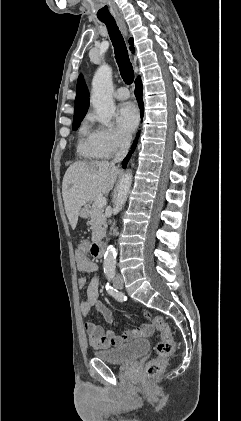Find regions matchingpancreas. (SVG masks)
<instances>
[{
	"label": "pancreas",
	"instance_id": "1",
	"mask_svg": "<svg viewBox=\"0 0 241 421\" xmlns=\"http://www.w3.org/2000/svg\"><path fill=\"white\" fill-rule=\"evenodd\" d=\"M91 208L89 211V217H90V225L92 230V239H101L106 234V217L103 213V209L100 207H97L95 205V202L91 201Z\"/></svg>",
	"mask_w": 241,
	"mask_h": 421
}]
</instances>
